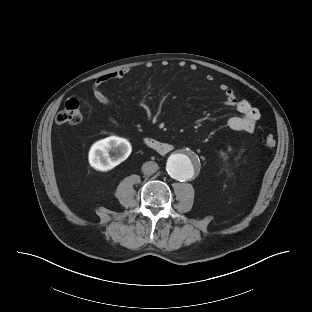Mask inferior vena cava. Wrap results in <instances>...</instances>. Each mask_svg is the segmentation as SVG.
<instances>
[{
  "label": "inferior vena cava",
  "instance_id": "1",
  "mask_svg": "<svg viewBox=\"0 0 312 312\" xmlns=\"http://www.w3.org/2000/svg\"><path fill=\"white\" fill-rule=\"evenodd\" d=\"M159 169V166L156 162L154 161H147L143 164L142 166V172L145 175H152L155 172H157V170Z\"/></svg>",
  "mask_w": 312,
  "mask_h": 312
}]
</instances>
